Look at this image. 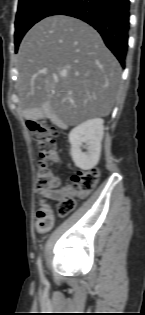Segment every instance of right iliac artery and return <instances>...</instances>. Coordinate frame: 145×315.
Returning a JSON list of instances; mask_svg holds the SVG:
<instances>
[{
  "mask_svg": "<svg viewBox=\"0 0 145 315\" xmlns=\"http://www.w3.org/2000/svg\"><path fill=\"white\" fill-rule=\"evenodd\" d=\"M37 264H38V267H39V271H40V274H41V278L43 279L42 267H41V259H40V257L38 258Z\"/></svg>",
  "mask_w": 145,
  "mask_h": 315,
  "instance_id": "right-iliac-artery-1",
  "label": "right iliac artery"
}]
</instances>
